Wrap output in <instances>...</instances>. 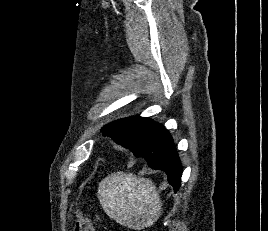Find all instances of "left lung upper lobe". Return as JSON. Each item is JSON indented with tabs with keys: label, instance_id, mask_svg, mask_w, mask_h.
<instances>
[{
	"label": "left lung upper lobe",
	"instance_id": "1",
	"mask_svg": "<svg viewBox=\"0 0 268 231\" xmlns=\"http://www.w3.org/2000/svg\"><path fill=\"white\" fill-rule=\"evenodd\" d=\"M161 126L148 118L134 116L109 123L101 131L123 147L130 148L149 140Z\"/></svg>",
	"mask_w": 268,
	"mask_h": 231
}]
</instances>
